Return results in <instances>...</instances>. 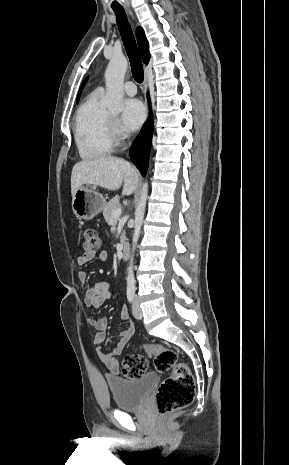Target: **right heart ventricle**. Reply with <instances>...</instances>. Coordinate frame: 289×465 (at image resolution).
<instances>
[{
  "instance_id": "e07e8e85",
  "label": "right heart ventricle",
  "mask_w": 289,
  "mask_h": 465,
  "mask_svg": "<svg viewBox=\"0 0 289 465\" xmlns=\"http://www.w3.org/2000/svg\"><path fill=\"white\" fill-rule=\"evenodd\" d=\"M103 91L91 92L78 108L74 119V138L80 157L96 160L114 148L112 120L101 103Z\"/></svg>"
}]
</instances>
